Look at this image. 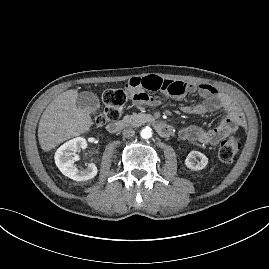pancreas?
I'll use <instances>...</instances> for the list:
<instances>
[{"instance_id":"cf45deb5","label":"pancreas","mask_w":269,"mask_h":269,"mask_svg":"<svg viewBox=\"0 0 269 269\" xmlns=\"http://www.w3.org/2000/svg\"><path fill=\"white\" fill-rule=\"evenodd\" d=\"M147 117L146 114H132V115H125L123 117V122L126 124V125H132V126H138V125H141L143 123H145V118Z\"/></svg>"}]
</instances>
